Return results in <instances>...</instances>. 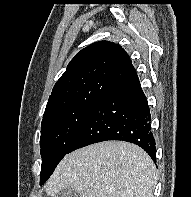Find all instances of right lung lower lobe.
Returning <instances> with one entry per match:
<instances>
[{
    "label": "right lung lower lobe",
    "instance_id": "1",
    "mask_svg": "<svg viewBox=\"0 0 191 197\" xmlns=\"http://www.w3.org/2000/svg\"><path fill=\"white\" fill-rule=\"evenodd\" d=\"M106 140L134 143L156 161L150 110L138 76L117 84L95 104L67 154Z\"/></svg>",
    "mask_w": 191,
    "mask_h": 197
}]
</instances>
